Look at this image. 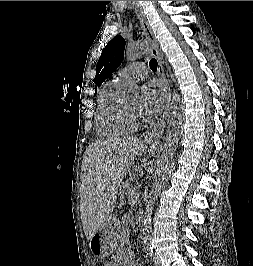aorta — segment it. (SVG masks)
Masks as SVG:
<instances>
[{
	"instance_id": "aorta-1",
	"label": "aorta",
	"mask_w": 253,
	"mask_h": 266,
	"mask_svg": "<svg viewBox=\"0 0 253 266\" xmlns=\"http://www.w3.org/2000/svg\"><path fill=\"white\" fill-rule=\"evenodd\" d=\"M147 45L144 42H136L129 44L125 50V56L129 61H135L146 53ZM131 93L136 94L138 92L137 86H131L129 88ZM184 112L183 106L180 101V96L174 93L171 100V105L168 113L167 120V136L158 156L156 170L153 177V183L150 191L151 199L146 206L145 215L142 220V234L143 241L149 245L153 242V236L151 233V217L153 211V205L156 201L164 183L166 182L173 156L175 154L176 145L181 137L183 131Z\"/></svg>"
}]
</instances>
